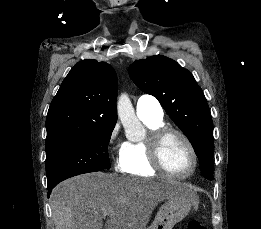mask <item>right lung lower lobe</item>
Returning a JSON list of instances; mask_svg holds the SVG:
<instances>
[{
	"label": "right lung lower lobe",
	"instance_id": "obj_1",
	"mask_svg": "<svg viewBox=\"0 0 261 229\" xmlns=\"http://www.w3.org/2000/svg\"><path fill=\"white\" fill-rule=\"evenodd\" d=\"M53 188H54V187H48V195H50V193H51V191H52Z\"/></svg>",
	"mask_w": 261,
	"mask_h": 229
}]
</instances>
